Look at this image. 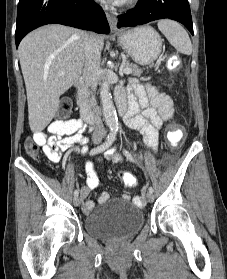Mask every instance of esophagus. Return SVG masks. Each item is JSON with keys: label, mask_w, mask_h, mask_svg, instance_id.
Returning a JSON list of instances; mask_svg holds the SVG:
<instances>
[{"label": "esophagus", "mask_w": 227, "mask_h": 279, "mask_svg": "<svg viewBox=\"0 0 227 279\" xmlns=\"http://www.w3.org/2000/svg\"><path fill=\"white\" fill-rule=\"evenodd\" d=\"M106 17H107L111 32L117 33L116 18L114 17V15L112 13L107 12Z\"/></svg>", "instance_id": "34e87169"}]
</instances>
